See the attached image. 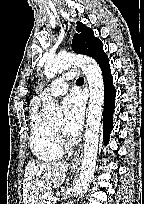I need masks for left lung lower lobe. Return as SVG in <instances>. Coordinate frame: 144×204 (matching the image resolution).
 <instances>
[{
  "label": "left lung lower lobe",
  "mask_w": 144,
  "mask_h": 204,
  "mask_svg": "<svg viewBox=\"0 0 144 204\" xmlns=\"http://www.w3.org/2000/svg\"><path fill=\"white\" fill-rule=\"evenodd\" d=\"M104 75L105 86V102H104V114H103V130H104V143L105 145L109 141L110 132L113 127V113H114V99L115 88L113 86V79L109 67V59L107 56L97 60Z\"/></svg>",
  "instance_id": "left-lung-lower-lobe-1"
}]
</instances>
